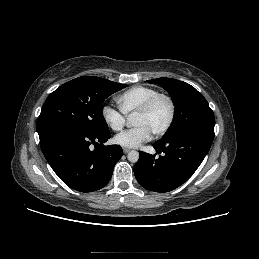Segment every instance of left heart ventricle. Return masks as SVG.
<instances>
[{
  "label": "left heart ventricle",
  "mask_w": 259,
  "mask_h": 259,
  "mask_svg": "<svg viewBox=\"0 0 259 259\" xmlns=\"http://www.w3.org/2000/svg\"><path fill=\"white\" fill-rule=\"evenodd\" d=\"M170 114L169 104L164 99H159L152 109L145 115H134V126H145L152 134L160 130L167 122Z\"/></svg>",
  "instance_id": "left-heart-ventricle-1"
}]
</instances>
